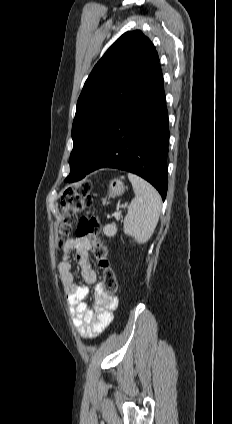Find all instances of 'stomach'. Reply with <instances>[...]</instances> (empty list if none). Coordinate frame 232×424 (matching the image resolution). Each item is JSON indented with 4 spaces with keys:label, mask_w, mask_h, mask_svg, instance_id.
I'll use <instances>...</instances> for the list:
<instances>
[{
    "label": "stomach",
    "mask_w": 232,
    "mask_h": 424,
    "mask_svg": "<svg viewBox=\"0 0 232 424\" xmlns=\"http://www.w3.org/2000/svg\"><path fill=\"white\" fill-rule=\"evenodd\" d=\"M109 191L110 197L114 198L124 192V185L120 180L114 179L110 182Z\"/></svg>",
    "instance_id": "stomach-1"
}]
</instances>
